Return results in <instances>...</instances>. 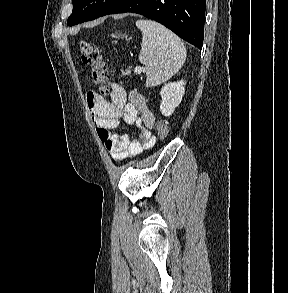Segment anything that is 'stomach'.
Here are the masks:
<instances>
[{"label": "stomach", "mask_w": 288, "mask_h": 293, "mask_svg": "<svg viewBox=\"0 0 288 293\" xmlns=\"http://www.w3.org/2000/svg\"><path fill=\"white\" fill-rule=\"evenodd\" d=\"M113 36L117 38V37H119L120 35L115 34V35H113ZM123 38L127 39L128 36L124 34V35H123Z\"/></svg>", "instance_id": "1"}]
</instances>
